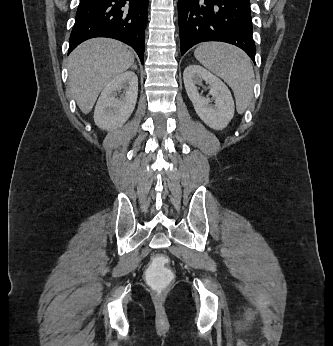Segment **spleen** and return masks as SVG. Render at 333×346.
Segmentation results:
<instances>
[{
    "instance_id": "1",
    "label": "spleen",
    "mask_w": 333,
    "mask_h": 346,
    "mask_svg": "<svg viewBox=\"0 0 333 346\" xmlns=\"http://www.w3.org/2000/svg\"><path fill=\"white\" fill-rule=\"evenodd\" d=\"M194 55L203 66L231 87L237 111L242 114L253 97L255 77L251 60L246 53L233 45L209 42L199 45Z\"/></svg>"
}]
</instances>
